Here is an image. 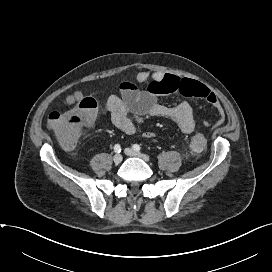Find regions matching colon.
I'll return each mask as SVG.
<instances>
[{"label":"colon","mask_w":272,"mask_h":272,"mask_svg":"<svg viewBox=\"0 0 272 272\" xmlns=\"http://www.w3.org/2000/svg\"><path fill=\"white\" fill-rule=\"evenodd\" d=\"M96 108L97 103L93 98L74 93L67 99L63 111H54L49 114L48 126L63 146L73 147L83 128L90 123ZM205 146L206 139L203 135L197 134L191 138L190 149L193 152L200 153Z\"/></svg>","instance_id":"obj_1"}]
</instances>
